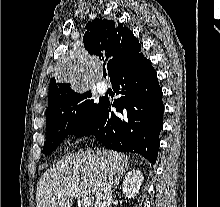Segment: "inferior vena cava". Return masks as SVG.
Returning a JSON list of instances; mask_svg holds the SVG:
<instances>
[{"label": "inferior vena cava", "mask_w": 220, "mask_h": 207, "mask_svg": "<svg viewBox=\"0 0 220 207\" xmlns=\"http://www.w3.org/2000/svg\"><path fill=\"white\" fill-rule=\"evenodd\" d=\"M112 175L106 170L101 174L96 190L94 207H110L112 203Z\"/></svg>", "instance_id": "inferior-vena-cava-1"}]
</instances>
